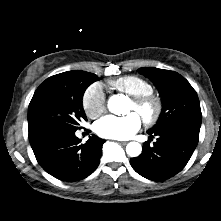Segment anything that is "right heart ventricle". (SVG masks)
I'll use <instances>...</instances> for the list:
<instances>
[{"label": "right heart ventricle", "instance_id": "right-heart-ventricle-1", "mask_svg": "<svg viewBox=\"0 0 221 221\" xmlns=\"http://www.w3.org/2000/svg\"><path fill=\"white\" fill-rule=\"evenodd\" d=\"M112 90L125 93L129 96H141L152 93V85L136 75H127L108 82Z\"/></svg>", "mask_w": 221, "mask_h": 221}]
</instances>
